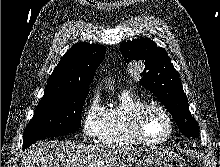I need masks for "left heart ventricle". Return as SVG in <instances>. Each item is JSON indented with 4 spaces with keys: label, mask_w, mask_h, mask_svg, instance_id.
Listing matches in <instances>:
<instances>
[{
    "label": "left heart ventricle",
    "mask_w": 220,
    "mask_h": 167,
    "mask_svg": "<svg viewBox=\"0 0 220 167\" xmlns=\"http://www.w3.org/2000/svg\"><path fill=\"white\" fill-rule=\"evenodd\" d=\"M142 129L147 138L158 140L169 134V124L166 118L158 111L151 110L143 120Z\"/></svg>",
    "instance_id": "1"
}]
</instances>
